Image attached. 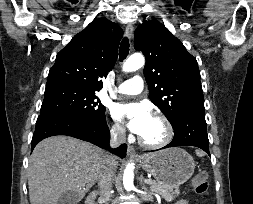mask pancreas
I'll return each mask as SVG.
<instances>
[{
	"instance_id": "cf45deb5",
	"label": "pancreas",
	"mask_w": 253,
	"mask_h": 204,
	"mask_svg": "<svg viewBox=\"0 0 253 204\" xmlns=\"http://www.w3.org/2000/svg\"><path fill=\"white\" fill-rule=\"evenodd\" d=\"M152 182L153 184L150 185V190L152 192L159 194L161 197H163L167 201H172L180 194V191L178 188L175 190H171L155 181H152Z\"/></svg>"
}]
</instances>
